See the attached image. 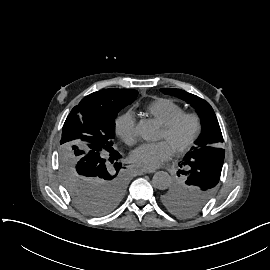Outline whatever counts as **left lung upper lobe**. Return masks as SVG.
I'll use <instances>...</instances> for the list:
<instances>
[{"mask_svg": "<svg viewBox=\"0 0 270 270\" xmlns=\"http://www.w3.org/2000/svg\"><path fill=\"white\" fill-rule=\"evenodd\" d=\"M160 90L190 103L201 120L200 136L179 165L183 169L177 172L180 178L160 195L161 204L168 211L181 217H191L205 208L216 190L225 156L221 148L223 137L208 102L181 89Z\"/></svg>", "mask_w": 270, "mask_h": 270, "instance_id": "left-lung-upper-lobe-1", "label": "left lung upper lobe"}]
</instances>
